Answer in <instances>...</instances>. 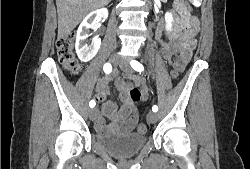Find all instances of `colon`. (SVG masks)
Instances as JSON below:
<instances>
[{
    "instance_id": "obj_1",
    "label": "colon",
    "mask_w": 250,
    "mask_h": 169,
    "mask_svg": "<svg viewBox=\"0 0 250 169\" xmlns=\"http://www.w3.org/2000/svg\"><path fill=\"white\" fill-rule=\"evenodd\" d=\"M188 0H179V3L182 4V8L185 10L191 11V5L188 3ZM76 39V34H66V37L56 38V51L58 59L63 68L69 73L76 75L80 71V64L74 52V44ZM171 80H178L180 73L177 69H170ZM130 96L132 100H140L141 91L138 89L130 91ZM138 130L140 133L145 132L146 128L143 125H139Z\"/></svg>"
}]
</instances>
